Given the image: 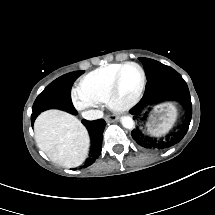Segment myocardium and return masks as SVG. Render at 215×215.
Returning a JSON list of instances; mask_svg holds the SVG:
<instances>
[{
	"label": "myocardium",
	"instance_id": "myocardium-1",
	"mask_svg": "<svg viewBox=\"0 0 215 215\" xmlns=\"http://www.w3.org/2000/svg\"><path fill=\"white\" fill-rule=\"evenodd\" d=\"M125 67H133L138 72L139 78L133 94L118 89L119 78L121 77V69ZM145 82L146 76L144 70L138 63L133 61L120 63L118 69H116V74L114 82L111 85V90H109L107 93L108 107L110 109H116L118 114L128 113L130 111V106L135 104L140 98Z\"/></svg>",
	"mask_w": 215,
	"mask_h": 215
}]
</instances>
